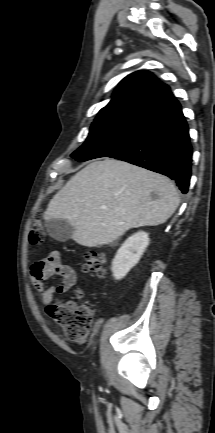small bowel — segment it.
Listing matches in <instances>:
<instances>
[{"mask_svg":"<svg viewBox=\"0 0 215 433\" xmlns=\"http://www.w3.org/2000/svg\"><path fill=\"white\" fill-rule=\"evenodd\" d=\"M32 285L39 292L44 304H49L55 293L68 292L77 282V274L74 269L62 263L58 251L49 252L46 257L32 263L29 270ZM57 276L60 281L54 286H48L47 280Z\"/></svg>","mask_w":215,"mask_h":433,"instance_id":"obj_1","label":"small bowel"}]
</instances>
